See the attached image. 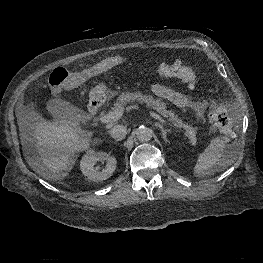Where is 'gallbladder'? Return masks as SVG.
<instances>
[{"label": "gallbladder", "mask_w": 263, "mask_h": 263, "mask_svg": "<svg viewBox=\"0 0 263 263\" xmlns=\"http://www.w3.org/2000/svg\"><path fill=\"white\" fill-rule=\"evenodd\" d=\"M46 109L57 123L66 124L78 120V113L68 102L62 99L54 98L48 100Z\"/></svg>", "instance_id": "obj_1"}]
</instances>
